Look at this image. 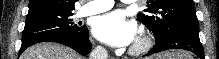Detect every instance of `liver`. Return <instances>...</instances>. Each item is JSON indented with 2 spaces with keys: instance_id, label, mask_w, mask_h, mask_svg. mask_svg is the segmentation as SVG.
Here are the masks:
<instances>
[{
  "instance_id": "obj_1",
  "label": "liver",
  "mask_w": 219,
  "mask_h": 59,
  "mask_svg": "<svg viewBox=\"0 0 219 59\" xmlns=\"http://www.w3.org/2000/svg\"><path fill=\"white\" fill-rule=\"evenodd\" d=\"M20 59H84L75 51L55 43H40L26 49Z\"/></svg>"
}]
</instances>
